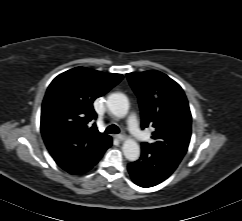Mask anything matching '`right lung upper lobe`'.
<instances>
[{
  "label": "right lung upper lobe",
  "mask_w": 242,
  "mask_h": 221,
  "mask_svg": "<svg viewBox=\"0 0 242 221\" xmlns=\"http://www.w3.org/2000/svg\"><path fill=\"white\" fill-rule=\"evenodd\" d=\"M121 74L76 67L58 75L42 104L41 133L48 151L63 169L79 172L107 147L110 136L90 122L97 118L93 101L117 85Z\"/></svg>",
  "instance_id": "cb5924a9"
}]
</instances>
